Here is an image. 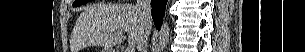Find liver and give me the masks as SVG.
Listing matches in <instances>:
<instances>
[{"label": "liver", "mask_w": 305, "mask_h": 52, "mask_svg": "<svg viewBox=\"0 0 305 52\" xmlns=\"http://www.w3.org/2000/svg\"><path fill=\"white\" fill-rule=\"evenodd\" d=\"M77 27L83 32L85 40L105 47L122 43L125 32H129L130 44H139L145 34L139 12L132 5L100 4L89 7L80 14Z\"/></svg>", "instance_id": "liver-1"}]
</instances>
